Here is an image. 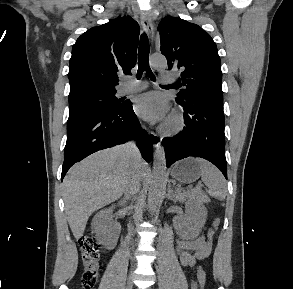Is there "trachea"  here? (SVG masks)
Returning a JSON list of instances; mask_svg holds the SVG:
<instances>
[{"instance_id":"trachea-1","label":"trachea","mask_w":293,"mask_h":289,"mask_svg":"<svg viewBox=\"0 0 293 289\" xmlns=\"http://www.w3.org/2000/svg\"><path fill=\"white\" fill-rule=\"evenodd\" d=\"M149 41L146 33H143L140 37V44L138 50V72L137 78L140 79L143 71L147 72V76L151 78V80L155 81V76L153 75L150 67H149Z\"/></svg>"}]
</instances>
